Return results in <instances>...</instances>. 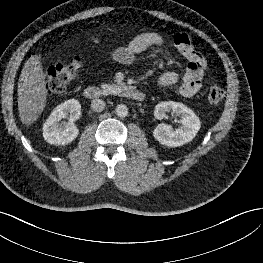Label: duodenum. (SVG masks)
Instances as JSON below:
<instances>
[{
  "instance_id": "duodenum-1",
  "label": "duodenum",
  "mask_w": 263,
  "mask_h": 263,
  "mask_svg": "<svg viewBox=\"0 0 263 263\" xmlns=\"http://www.w3.org/2000/svg\"><path fill=\"white\" fill-rule=\"evenodd\" d=\"M122 93L124 94L125 97L131 100L141 102L145 99V94L143 92L130 86L123 87ZM83 94L85 98L93 100L102 97L104 93L100 87L95 85H89L84 89Z\"/></svg>"
}]
</instances>
